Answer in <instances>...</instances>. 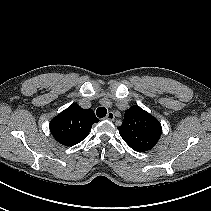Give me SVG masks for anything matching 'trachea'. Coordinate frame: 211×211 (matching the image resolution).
<instances>
[{"mask_svg": "<svg viewBox=\"0 0 211 211\" xmlns=\"http://www.w3.org/2000/svg\"><path fill=\"white\" fill-rule=\"evenodd\" d=\"M106 114H107V109H106V108H104V107H99V108H97V110H96V115H97L99 118H103Z\"/></svg>", "mask_w": 211, "mask_h": 211, "instance_id": "obj_1", "label": "trachea"}]
</instances>
